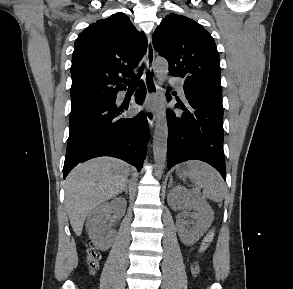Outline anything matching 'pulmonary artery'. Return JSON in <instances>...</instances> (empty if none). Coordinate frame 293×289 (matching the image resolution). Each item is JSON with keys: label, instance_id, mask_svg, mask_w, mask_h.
Segmentation results:
<instances>
[{"label": "pulmonary artery", "instance_id": "e3ab8cb5", "mask_svg": "<svg viewBox=\"0 0 293 289\" xmlns=\"http://www.w3.org/2000/svg\"><path fill=\"white\" fill-rule=\"evenodd\" d=\"M172 82L175 84L179 94L181 96H184V90H183V83L181 80H178V79H172Z\"/></svg>", "mask_w": 293, "mask_h": 289}]
</instances>
